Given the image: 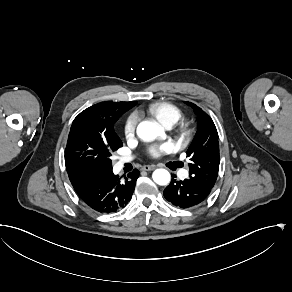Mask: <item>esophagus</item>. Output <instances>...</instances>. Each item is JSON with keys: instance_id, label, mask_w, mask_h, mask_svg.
Here are the masks:
<instances>
[{"instance_id": "obj_1", "label": "esophagus", "mask_w": 292, "mask_h": 292, "mask_svg": "<svg viewBox=\"0 0 292 292\" xmlns=\"http://www.w3.org/2000/svg\"><path fill=\"white\" fill-rule=\"evenodd\" d=\"M155 169V166H152V165H144L142 167V170H145V171H152Z\"/></svg>"}]
</instances>
